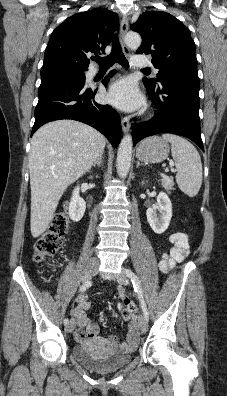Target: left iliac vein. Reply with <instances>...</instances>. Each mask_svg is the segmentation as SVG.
Returning a JSON list of instances; mask_svg holds the SVG:
<instances>
[{
  "label": "left iliac vein",
  "mask_w": 227,
  "mask_h": 396,
  "mask_svg": "<svg viewBox=\"0 0 227 396\" xmlns=\"http://www.w3.org/2000/svg\"><path fill=\"white\" fill-rule=\"evenodd\" d=\"M125 270H126V269H124L123 272L120 273V274L117 276V281H118V283H120V284H122V285H128V283H129V281H128V276L126 275ZM139 328H140V331H141L142 333H145V332L147 331L148 323H147V321H146V319H145L144 316H141V317H140V320H139Z\"/></svg>",
  "instance_id": "1"
}]
</instances>
